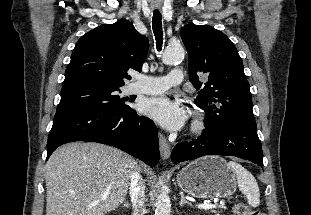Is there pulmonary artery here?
<instances>
[{"label": "pulmonary artery", "mask_w": 311, "mask_h": 215, "mask_svg": "<svg viewBox=\"0 0 311 215\" xmlns=\"http://www.w3.org/2000/svg\"><path fill=\"white\" fill-rule=\"evenodd\" d=\"M183 71L174 68L167 76H137V81L129 87L130 93L158 94L166 91L172 86L179 85L183 81Z\"/></svg>", "instance_id": "pulmonary-artery-1"}]
</instances>
